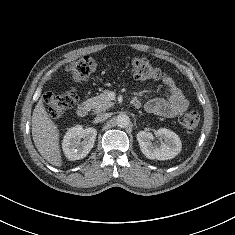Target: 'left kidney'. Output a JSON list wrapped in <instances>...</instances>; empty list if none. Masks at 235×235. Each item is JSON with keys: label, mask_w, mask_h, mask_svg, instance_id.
Wrapping results in <instances>:
<instances>
[{"label": "left kidney", "mask_w": 235, "mask_h": 235, "mask_svg": "<svg viewBox=\"0 0 235 235\" xmlns=\"http://www.w3.org/2000/svg\"><path fill=\"white\" fill-rule=\"evenodd\" d=\"M154 134L161 141L160 145L152 143L154 135L147 129L137 134L140 150L148 159L170 160L180 153L182 143L175 132L170 129L160 128Z\"/></svg>", "instance_id": "left-kidney-1"}]
</instances>
